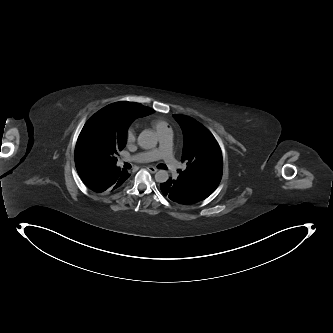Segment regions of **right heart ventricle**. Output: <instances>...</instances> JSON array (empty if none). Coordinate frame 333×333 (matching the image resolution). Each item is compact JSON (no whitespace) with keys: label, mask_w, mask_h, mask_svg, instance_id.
<instances>
[{"label":"right heart ventricle","mask_w":333,"mask_h":333,"mask_svg":"<svg viewBox=\"0 0 333 333\" xmlns=\"http://www.w3.org/2000/svg\"><path fill=\"white\" fill-rule=\"evenodd\" d=\"M151 124L154 127V129L157 131L158 134H161L167 130H170L168 124L161 119H154V120H152Z\"/></svg>","instance_id":"right-heart-ventricle-1"}]
</instances>
